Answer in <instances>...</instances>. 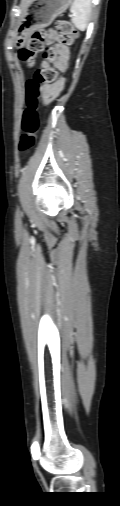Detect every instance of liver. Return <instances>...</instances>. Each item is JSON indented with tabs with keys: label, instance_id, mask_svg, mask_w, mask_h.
<instances>
[{
	"label": "liver",
	"instance_id": "6515ba94",
	"mask_svg": "<svg viewBox=\"0 0 120 506\" xmlns=\"http://www.w3.org/2000/svg\"><path fill=\"white\" fill-rule=\"evenodd\" d=\"M33 0H22L21 1V8L23 11L26 10V8L29 6V4L32 2Z\"/></svg>",
	"mask_w": 120,
	"mask_h": 506
}]
</instances>
